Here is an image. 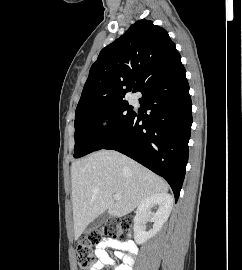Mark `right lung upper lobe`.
<instances>
[{
    "mask_svg": "<svg viewBox=\"0 0 242 270\" xmlns=\"http://www.w3.org/2000/svg\"><path fill=\"white\" fill-rule=\"evenodd\" d=\"M181 62L167 31L139 20L103 48L91 66L76 112L142 92L155 78Z\"/></svg>",
    "mask_w": 242,
    "mask_h": 270,
    "instance_id": "right-lung-upper-lobe-1",
    "label": "right lung upper lobe"
}]
</instances>
